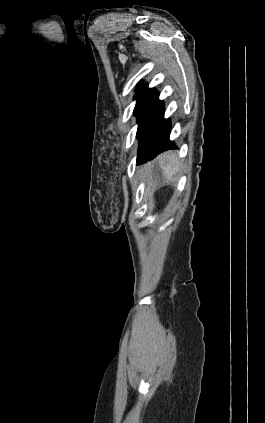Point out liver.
<instances>
[{"mask_svg":"<svg viewBox=\"0 0 265 423\" xmlns=\"http://www.w3.org/2000/svg\"><path fill=\"white\" fill-rule=\"evenodd\" d=\"M158 163L163 171L165 181L171 182L174 179V175L180 169V162L177 159V155L172 152H166L158 157Z\"/></svg>","mask_w":265,"mask_h":423,"instance_id":"6515ba94","label":"liver"}]
</instances>
